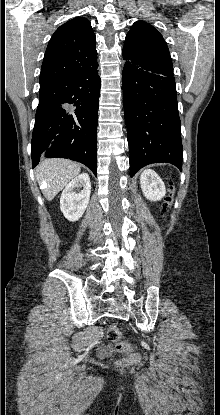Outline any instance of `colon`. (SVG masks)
I'll return each instance as SVG.
<instances>
[{
	"instance_id": "obj_1",
	"label": "colon",
	"mask_w": 220,
	"mask_h": 415,
	"mask_svg": "<svg viewBox=\"0 0 220 415\" xmlns=\"http://www.w3.org/2000/svg\"><path fill=\"white\" fill-rule=\"evenodd\" d=\"M174 184L172 181L169 183V194L166 199L165 208H170L174 198ZM108 339L115 344L116 348L124 352L125 356L118 361L120 366H129L135 364L138 361V356L133 353L127 352V345L122 339L120 330L115 324H110L107 330Z\"/></svg>"
}]
</instances>
